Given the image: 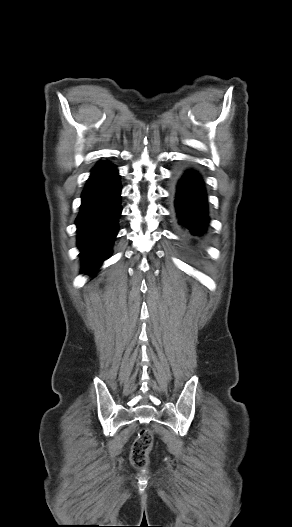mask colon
I'll return each instance as SVG.
<instances>
[{"label":"colon","mask_w":292,"mask_h":527,"mask_svg":"<svg viewBox=\"0 0 292 527\" xmlns=\"http://www.w3.org/2000/svg\"><path fill=\"white\" fill-rule=\"evenodd\" d=\"M154 435L151 429L143 428L134 441L131 450V462L137 468H144L148 463V454L153 446Z\"/></svg>","instance_id":"5ec220e1"}]
</instances>
